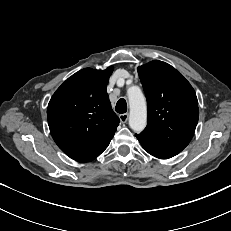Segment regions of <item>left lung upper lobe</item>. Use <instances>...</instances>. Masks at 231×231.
Listing matches in <instances>:
<instances>
[{
    "instance_id": "obj_1",
    "label": "left lung upper lobe",
    "mask_w": 231,
    "mask_h": 231,
    "mask_svg": "<svg viewBox=\"0 0 231 231\" xmlns=\"http://www.w3.org/2000/svg\"><path fill=\"white\" fill-rule=\"evenodd\" d=\"M138 73L148 106V123L139 135L181 152L191 141L199 118L194 89L162 61L140 66Z\"/></svg>"
}]
</instances>
